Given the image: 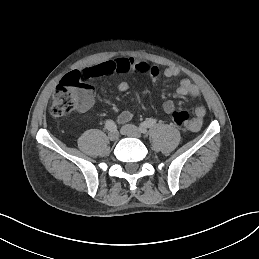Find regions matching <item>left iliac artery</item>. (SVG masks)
<instances>
[{
	"label": "left iliac artery",
	"instance_id": "obj_1",
	"mask_svg": "<svg viewBox=\"0 0 259 259\" xmlns=\"http://www.w3.org/2000/svg\"><path fill=\"white\" fill-rule=\"evenodd\" d=\"M156 122H157L156 119H151V118L145 120L140 125L141 132L146 133L147 132V128L153 127L156 124Z\"/></svg>",
	"mask_w": 259,
	"mask_h": 259
}]
</instances>
